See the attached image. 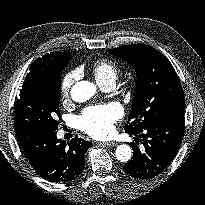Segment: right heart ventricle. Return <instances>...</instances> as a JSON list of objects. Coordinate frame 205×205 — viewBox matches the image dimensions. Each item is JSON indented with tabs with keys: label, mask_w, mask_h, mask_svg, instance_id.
<instances>
[{
	"label": "right heart ventricle",
	"mask_w": 205,
	"mask_h": 205,
	"mask_svg": "<svg viewBox=\"0 0 205 205\" xmlns=\"http://www.w3.org/2000/svg\"><path fill=\"white\" fill-rule=\"evenodd\" d=\"M91 70L96 81L103 86L117 79L119 66L110 59H99L93 63Z\"/></svg>",
	"instance_id": "e07e8e85"
}]
</instances>
